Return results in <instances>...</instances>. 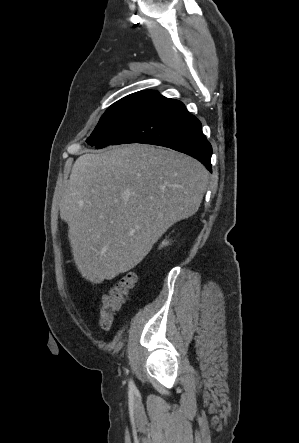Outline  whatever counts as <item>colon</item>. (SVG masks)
I'll use <instances>...</instances> for the list:
<instances>
[{"label":"colon","mask_w":299,"mask_h":443,"mask_svg":"<svg viewBox=\"0 0 299 443\" xmlns=\"http://www.w3.org/2000/svg\"><path fill=\"white\" fill-rule=\"evenodd\" d=\"M135 284L136 275L129 272L102 296L99 311V321L102 328L110 329L112 327L115 313L123 306Z\"/></svg>","instance_id":"colon-1"}]
</instances>
